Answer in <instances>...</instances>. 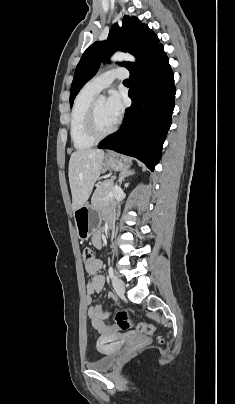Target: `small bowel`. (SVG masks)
Listing matches in <instances>:
<instances>
[{
  "instance_id": "obj_1",
  "label": "small bowel",
  "mask_w": 235,
  "mask_h": 404,
  "mask_svg": "<svg viewBox=\"0 0 235 404\" xmlns=\"http://www.w3.org/2000/svg\"><path fill=\"white\" fill-rule=\"evenodd\" d=\"M94 246L99 247L101 244V233L96 232L92 238ZM102 267V261L99 259L93 260L86 265V271L92 275L91 281L86 286L88 294V315L91 318L92 326L101 334L100 341L117 337V329L115 326H109L106 324V320L112 316V312H106L102 305L94 303L91 296L95 293H99L104 286V277L98 274V271Z\"/></svg>"
}]
</instances>
